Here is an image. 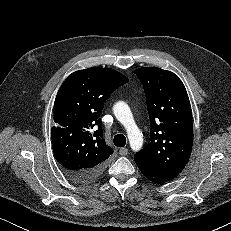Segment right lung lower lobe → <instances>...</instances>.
Instances as JSON below:
<instances>
[{
	"instance_id": "1",
	"label": "right lung lower lobe",
	"mask_w": 231,
	"mask_h": 231,
	"mask_svg": "<svg viewBox=\"0 0 231 231\" xmlns=\"http://www.w3.org/2000/svg\"><path fill=\"white\" fill-rule=\"evenodd\" d=\"M102 170L103 168L99 167V168L89 170V171H80V172H68L67 171L66 173L74 182L86 183V182L94 180L97 176H99Z\"/></svg>"
}]
</instances>
